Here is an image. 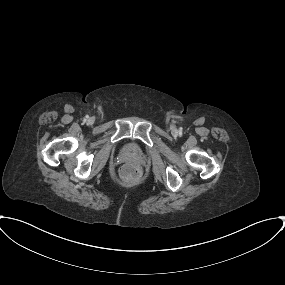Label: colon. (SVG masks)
Masks as SVG:
<instances>
[{
  "label": "colon",
  "mask_w": 285,
  "mask_h": 285,
  "mask_svg": "<svg viewBox=\"0 0 285 285\" xmlns=\"http://www.w3.org/2000/svg\"><path fill=\"white\" fill-rule=\"evenodd\" d=\"M138 174V167L133 163L125 164L121 169V175L128 177V176H135Z\"/></svg>",
  "instance_id": "obj_1"
}]
</instances>
